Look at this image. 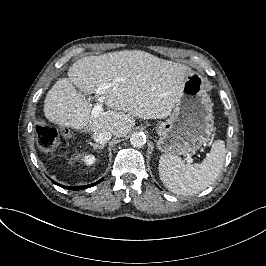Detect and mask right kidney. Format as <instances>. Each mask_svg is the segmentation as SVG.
I'll use <instances>...</instances> for the list:
<instances>
[{
  "instance_id": "right-kidney-1",
  "label": "right kidney",
  "mask_w": 266,
  "mask_h": 266,
  "mask_svg": "<svg viewBox=\"0 0 266 266\" xmlns=\"http://www.w3.org/2000/svg\"><path fill=\"white\" fill-rule=\"evenodd\" d=\"M85 160L87 162V164H93L94 163V160H93V157L92 156H86L85 157Z\"/></svg>"
}]
</instances>
